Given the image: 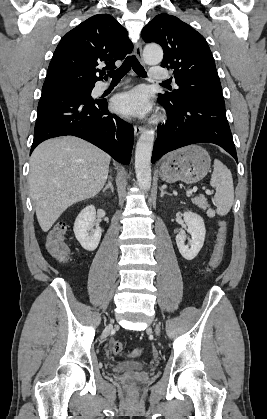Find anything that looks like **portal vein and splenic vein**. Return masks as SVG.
Segmentation results:
<instances>
[{"instance_id": "18ae733b", "label": "portal vein and splenic vein", "mask_w": 267, "mask_h": 419, "mask_svg": "<svg viewBox=\"0 0 267 419\" xmlns=\"http://www.w3.org/2000/svg\"><path fill=\"white\" fill-rule=\"evenodd\" d=\"M196 188H194L193 190H192V192H196ZM206 192V194H208V195H211L212 194V192L210 191V190H206L205 191Z\"/></svg>"}]
</instances>
